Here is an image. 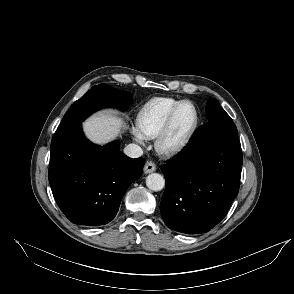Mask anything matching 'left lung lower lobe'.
Returning <instances> with one entry per match:
<instances>
[{"label": "left lung lower lobe", "mask_w": 294, "mask_h": 294, "mask_svg": "<svg viewBox=\"0 0 294 294\" xmlns=\"http://www.w3.org/2000/svg\"><path fill=\"white\" fill-rule=\"evenodd\" d=\"M242 150L234 122H208L189 145L161 168L166 188L161 214L175 231L208 232L238 194Z\"/></svg>", "instance_id": "1"}]
</instances>
